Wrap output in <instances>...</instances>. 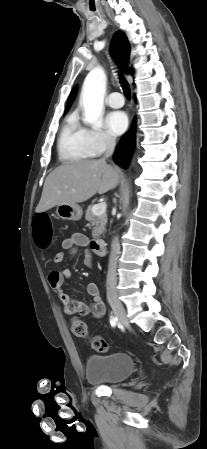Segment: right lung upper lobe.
Wrapping results in <instances>:
<instances>
[{"mask_svg": "<svg viewBox=\"0 0 207 449\" xmlns=\"http://www.w3.org/2000/svg\"><path fill=\"white\" fill-rule=\"evenodd\" d=\"M111 53L116 59L118 64L121 66L125 73H132V70L128 68V62L130 57V44L126 35L118 31L114 34L111 42ZM77 88L74 87L69 95L66 111L69 109L71 103L73 102L76 95Z\"/></svg>", "mask_w": 207, "mask_h": 449, "instance_id": "right-lung-upper-lobe-1", "label": "right lung upper lobe"}]
</instances>
